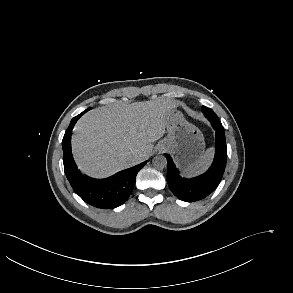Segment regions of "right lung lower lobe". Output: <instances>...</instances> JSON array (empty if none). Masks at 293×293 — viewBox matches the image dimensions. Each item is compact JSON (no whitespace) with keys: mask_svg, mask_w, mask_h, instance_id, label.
I'll list each match as a JSON object with an SVG mask.
<instances>
[{"mask_svg":"<svg viewBox=\"0 0 293 293\" xmlns=\"http://www.w3.org/2000/svg\"><path fill=\"white\" fill-rule=\"evenodd\" d=\"M89 109L71 120L62 140L64 171L73 190L88 204L102 208H115L122 205L130 196L136 175L147 161L132 168L120 171L105 179H90L77 168L71 151V132L77 120Z\"/></svg>","mask_w":293,"mask_h":293,"instance_id":"1","label":"right lung lower lobe"}]
</instances>
